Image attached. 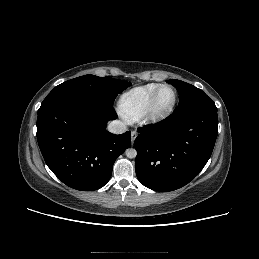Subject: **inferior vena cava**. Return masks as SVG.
I'll use <instances>...</instances> for the list:
<instances>
[{
    "mask_svg": "<svg viewBox=\"0 0 259 259\" xmlns=\"http://www.w3.org/2000/svg\"><path fill=\"white\" fill-rule=\"evenodd\" d=\"M107 129L110 133H113V134H122L127 130L126 125L119 120H114L110 122L108 124Z\"/></svg>",
    "mask_w": 259,
    "mask_h": 259,
    "instance_id": "602c4592",
    "label": "inferior vena cava"
}]
</instances>
